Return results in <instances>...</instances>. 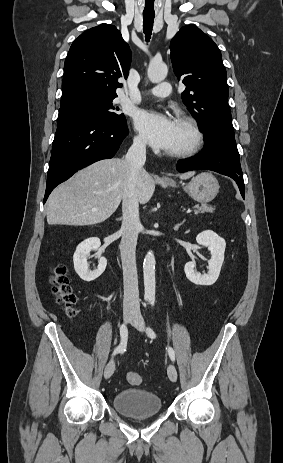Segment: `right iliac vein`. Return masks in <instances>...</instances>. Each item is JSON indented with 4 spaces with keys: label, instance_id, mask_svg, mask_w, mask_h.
Returning a JSON list of instances; mask_svg holds the SVG:
<instances>
[{
    "label": "right iliac vein",
    "instance_id": "63e3f726",
    "mask_svg": "<svg viewBox=\"0 0 283 463\" xmlns=\"http://www.w3.org/2000/svg\"><path fill=\"white\" fill-rule=\"evenodd\" d=\"M135 316V312L132 311V310H125L124 311V314H123V318H124V322L128 323L129 321H131V319ZM114 370H115V362L114 360H111L106 368H105V371H104V377L106 379L110 378L113 373H114Z\"/></svg>",
    "mask_w": 283,
    "mask_h": 463
}]
</instances>
